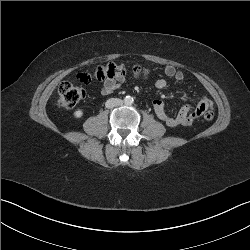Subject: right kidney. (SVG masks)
Segmentation results:
<instances>
[{
	"label": "right kidney",
	"mask_w": 250,
	"mask_h": 250,
	"mask_svg": "<svg viewBox=\"0 0 250 250\" xmlns=\"http://www.w3.org/2000/svg\"><path fill=\"white\" fill-rule=\"evenodd\" d=\"M74 117L75 118H81L82 116H83V111L82 110H80V109H78V110H76L75 112H74Z\"/></svg>",
	"instance_id": "ca27d5eb"
}]
</instances>
